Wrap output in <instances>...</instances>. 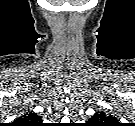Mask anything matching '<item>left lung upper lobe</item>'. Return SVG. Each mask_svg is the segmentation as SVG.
I'll return each mask as SVG.
<instances>
[{
	"instance_id": "5c2ea615",
	"label": "left lung upper lobe",
	"mask_w": 135,
	"mask_h": 126,
	"mask_svg": "<svg viewBox=\"0 0 135 126\" xmlns=\"http://www.w3.org/2000/svg\"><path fill=\"white\" fill-rule=\"evenodd\" d=\"M113 119L112 116H107L104 112H96L91 118L92 121L99 123L100 125H110V122Z\"/></svg>"
}]
</instances>
